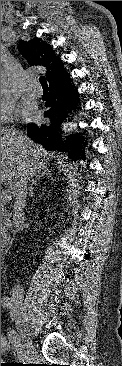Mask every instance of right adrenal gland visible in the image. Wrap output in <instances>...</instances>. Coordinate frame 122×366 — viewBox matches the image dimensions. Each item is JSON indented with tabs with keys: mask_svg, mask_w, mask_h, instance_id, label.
<instances>
[{
	"mask_svg": "<svg viewBox=\"0 0 122 366\" xmlns=\"http://www.w3.org/2000/svg\"><path fill=\"white\" fill-rule=\"evenodd\" d=\"M48 171V170H47ZM46 172V171H45ZM45 172L39 176V177H36L35 179H32V184L31 186L29 187V196L30 197H33V190H34V186L37 185V181H40L41 177H43L45 175ZM49 172V171H48ZM49 173H46V175H48Z\"/></svg>",
	"mask_w": 122,
	"mask_h": 366,
	"instance_id": "1",
	"label": "right adrenal gland"
}]
</instances>
